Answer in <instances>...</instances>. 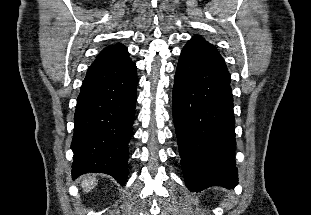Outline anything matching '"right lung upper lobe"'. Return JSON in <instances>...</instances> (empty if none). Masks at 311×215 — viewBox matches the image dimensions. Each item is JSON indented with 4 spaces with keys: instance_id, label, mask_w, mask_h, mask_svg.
<instances>
[{
    "instance_id": "right-lung-upper-lobe-1",
    "label": "right lung upper lobe",
    "mask_w": 311,
    "mask_h": 215,
    "mask_svg": "<svg viewBox=\"0 0 311 215\" xmlns=\"http://www.w3.org/2000/svg\"><path fill=\"white\" fill-rule=\"evenodd\" d=\"M130 61L127 48L121 43H116L104 48L93 64H124Z\"/></svg>"
}]
</instances>
